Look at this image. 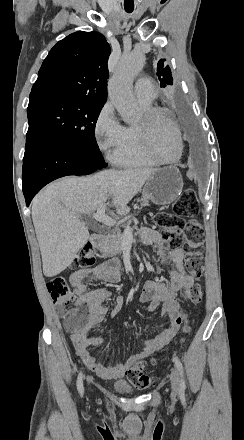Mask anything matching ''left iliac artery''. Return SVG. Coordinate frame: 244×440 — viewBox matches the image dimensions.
<instances>
[{
    "instance_id": "44dca946",
    "label": "left iliac artery",
    "mask_w": 244,
    "mask_h": 440,
    "mask_svg": "<svg viewBox=\"0 0 244 440\" xmlns=\"http://www.w3.org/2000/svg\"><path fill=\"white\" fill-rule=\"evenodd\" d=\"M173 362L175 363V366L177 367V370L180 373L181 376V381H180V390L184 391L186 389V384H185V380H184V369H183V365L181 363V361L179 360L178 357H174L173 358Z\"/></svg>"
}]
</instances>
